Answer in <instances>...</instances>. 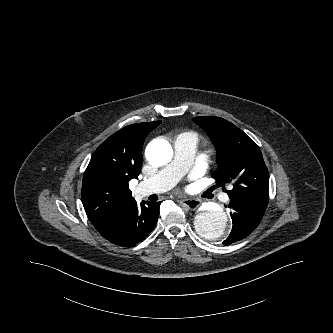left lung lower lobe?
I'll return each mask as SVG.
<instances>
[{"instance_id": "1", "label": "left lung lower lobe", "mask_w": 333, "mask_h": 333, "mask_svg": "<svg viewBox=\"0 0 333 333\" xmlns=\"http://www.w3.org/2000/svg\"><path fill=\"white\" fill-rule=\"evenodd\" d=\"M228 208L231 209L232 231L223 242L224 245L232 244L248 236L259 225L265 213L264 209L244 205L230 200Z\"/></svg>"}]
</instances>
